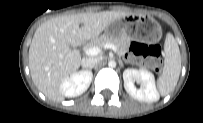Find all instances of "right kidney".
Returning <instances> with one entry per match:
<instances>
[{
	"mask_svg": "<svg viewBox=\"0 0 203 123\" xmlns=\"http://www.w3.org/2000/svg\"><path fill=\"white\" fill-rule=\"evenodd\" d=\"M93 74L90 70H81L70 75L60 85L61 93L68 98L83 94L90 86Z\"/></svg>",
	"mask_w": 203,
	"mask_h": 123,
	"instance_id": "ca27d5eb",
	"label": "right kidney"
}]
</instances>
